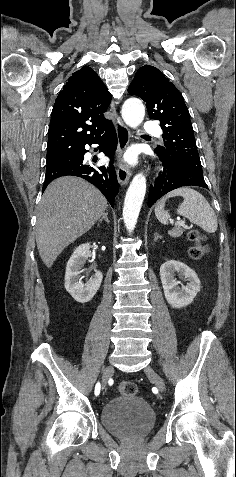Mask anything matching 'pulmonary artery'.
Segmentation results:
<instances>
[{"label": "pulmonary artery", "instance_id": "obj_1", "mask_svg": "<svg viewBox=\"0 0 236 477\" xmlns=\"http://www.w3.org/2000/svg\"><path fill=\"white\" fill-rule=\"evenodd\" d=\"M143 131L145 133L154 134V135L160 134L159 126L157 125V123L153 121L146 122L143 126Z\"/></svg>", "mask_w": 236, "mask_h": 477}]
</instances>
